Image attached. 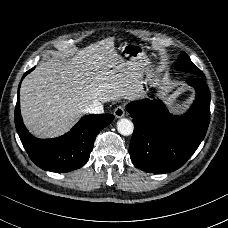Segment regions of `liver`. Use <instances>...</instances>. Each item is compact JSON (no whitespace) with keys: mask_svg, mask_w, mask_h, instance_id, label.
Masks as SVG:
<instances>
[{"mask_svg":"<svg viewBox=\"0 0 228 228\" xmlns=\"http://www.w3.org/2000/svg\"><path fill=\"white\" fill-rule=\"evenodd\" d=\"M141 78L137 64L116 50L115 38L93 44L65 62L48 58L21 85L25 123L39 136L60 134L94 103L134 98Z\"/></svg>","mask_w":228,"mask_h":228,"instance_id":"obj_1","label":"liver"}]
</instances>
